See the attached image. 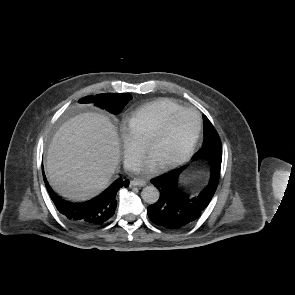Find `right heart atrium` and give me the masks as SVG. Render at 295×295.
Returning a JSON list of instances; mask_svg holds the SVG:
<instances>
[{"label": "right heart atrium", "instance_id": "d8ad5b80", "mask_svg": "<svg viewBox=\"0 0 295 295\" xmlns=\"http://www.w3.org/2000/svg\"><path fill=\"white\" fill-rule=\"evenodd\" d=\"M121 139L125 164L127 168L134 170L142 159L144 145L135 139L128 130L122 131Z\"/></svg>", "mask_w": 295, "mask_h": 295}]
</instances>
